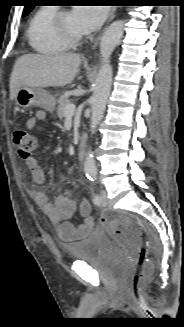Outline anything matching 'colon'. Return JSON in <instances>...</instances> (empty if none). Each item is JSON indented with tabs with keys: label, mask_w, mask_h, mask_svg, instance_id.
Returning <instances> with one entry per match:
<instances>
[{
	"label": "colon",
	"mask_w": 184,
	"mask_h": 327,
	"mask_svg": "<svg viewBox=\"0 0 184 327\" xmlns=\"http://www.w3.org/2000/svg\"><path fill=\"white\" fill-rule=\"evenodd\" d=\"M13 143L23 159L30 158L39 147L37 138L25 129L14 130ZM102 222L118 241L128 246H136V255L126 289L135 302L141 301L144 284L152 268L147 258V250L154 242V235L137 217L109 212L103 215Z\"/></svg>",
	"instance_id": "colon-1"
}]
</instances>
